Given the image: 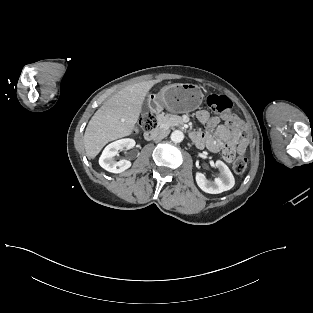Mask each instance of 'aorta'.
Instances as JSON below:
<instances>
[{
	"mask_svg": "<svg viewBox=\"0 0 313 313\" xmlns=\"http://www.w3.org/2000/svg\"><path fill=\"white\" fill-rule=\"evenodd\" d=\"M184 139V134L182 131L180 130H175L171 133V140L174 142V143H180L182 142Z\"/></svg>",
	"mask_w": 313,
	"mask_h": 313,
	"instance_id": "aorta-1",
	"label": "aorta"
}]
</instances>
